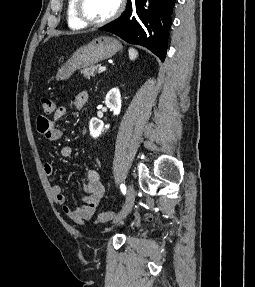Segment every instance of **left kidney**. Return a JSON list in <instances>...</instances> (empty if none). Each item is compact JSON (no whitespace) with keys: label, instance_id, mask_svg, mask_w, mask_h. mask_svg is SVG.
Returning <instances> with one entry per match:
<instances>
[{"label":"left kidney","instance_id":"1","mask_svg":"<svg viewBox=\"0 0 255 287\" xmlns=\"http://www.w3.org/2000/svg\"><path fill=\"white\" fill-rule=\"evenodd\" d=\"M105 104L107 108H111V110H113L114 116H119L121 112L122 100L120 90H118V88H112V90L108 92L105 98ZM107 128H109V126H105L102 120H98V118H92V120H90L89 130L92 138H99L102 132L107 130Z\"/></svg>","mask_w":255,"mask_h":287}]
</instances>
